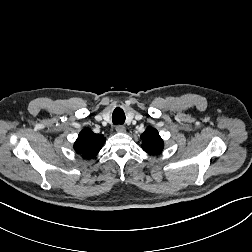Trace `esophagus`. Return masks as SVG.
I'll return each instance as SVG.
<instances>
[{"mask_svg": "<svg viewBox=\"0 0 252 252\" xmlns=\"http://www.w3.org/2000/svg\"><path fill=\"white\" fill-rule=\"evenodd\" d=\"M116 131L119 133H124V132H126V128L123 125H117Z\"/></svg>", "mask_w": 252, "mask_h": 252, "instance_id": "obj_1", "label": "esophagus"}]
</instances>
